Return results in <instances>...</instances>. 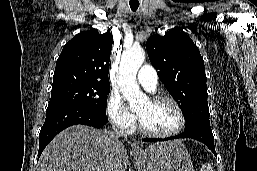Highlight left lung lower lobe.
Returning a JSON list of instances; mask_svg holds the SVG:
<instances>
[{
  "label": "left lung lower lobe",
  "instance_id": "1",
  "mask_svg": "<svg viewBox=\"0 0 257 171\" xmlns=\"http://www.w3.org/2000/svg\"><path fill=\"white\" fill-rule=\"evenodd\" d=\"M179 138H192V139L198 140L204 143L217 157L215 146H214V137H213L212 130H207L202 128H193L189 130H184V132L179 135L168 137L165 139L146 138V139H142V141L156 142V141H166V140L179 139Z\"/></svg>",
  "mask_w": 257,
  "mask_h": 171
}]
</instances>
